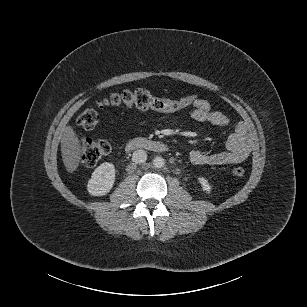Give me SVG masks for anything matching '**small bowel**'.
Here are the masks:
<instances>
[{
  "label": "small bowel",
  "instance_id": "1",
  "mask_svg": "<svg viewBox=\"0 0 307 307\" xmlns=\"http://www.w3.org/2000/svg\"><path fill=\"white\" fill-rule=\"evenodd\" d=\"M190 114L193 119L200 122H208L215 126L232 127L226 141V150L208 153L201 150H193L190 160L195 165H226L244 161L250 154L252 142L246 125L242 121L232 123L230 118L217 110L205 99H196L191 107ZM142 124L138 122L137 125Z\"/></svg>",
  "mask_w": 307,
  "mask_h": 307
}]
</instances>
